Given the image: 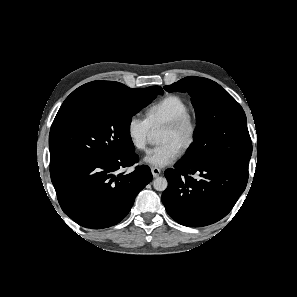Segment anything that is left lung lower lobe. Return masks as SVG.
Wrapping results in <instances>:
<instances>
[{
	"label": "left lung lower lobe",
	"mask_w": 297,
	"mask_h": 297,
	"mask_svg": "<svg viewBox=\"0 0 297 297\" xmlns=\"http://www.w3.org/2000/svg\"><path fill=\"white\" fill-rule=\"evenodd\" d=\"M165 177V209L176 222L188 227L207 226L225 217L248 181V173L218 163L177 162L165 171Z\"/></svg>",
	"instance_id": "obj_1"
}]
</instances>
